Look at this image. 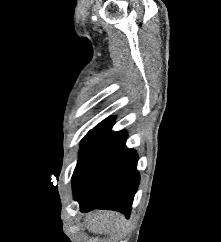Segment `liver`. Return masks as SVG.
<instances>
[{
	"mask_svg": "<svg viewBox=\"0 0 221 242\" xmlns=\"http://www.w3.org/2000/svg\"><path fill=\"white\" fill-rule=\"evenodd\" d=\"M124 218L112 211H100L85 218L87 229L95 234L113 235L119 233Z\"/></svg>",
	"mask_w": 221,
	"mask_h": 242,
	"instance_id": "6515ba94",
	"label": "liver"
}]
</instances>
